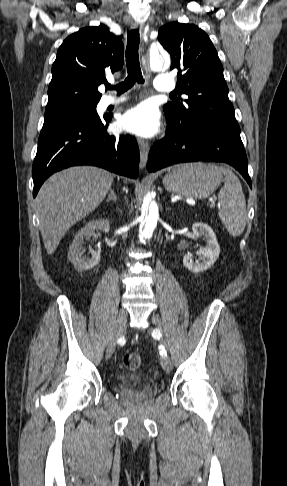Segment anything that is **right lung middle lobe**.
I'll list each match as a JSON object with an SVG mask.
<instances>
[{
    "mask_svg": "<svg viewBox=\"0 0 287 486\" xmlns=\"http://www.w3.org/2000/svg\"><path fill=\"white\" fill-rule=\"evenodd\" d=\"M97 103L98 101H86L46 108L42 129L67 123H78L97 117Z\"/></svg>",
    "mask_w": 287,
    "mask_h": 486,
    "instance_id": "obj_1",
    "label": "right lung middle lobe"
}]
</instances>
